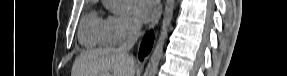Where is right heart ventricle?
<instances>
[{
    "mask_svg": "<svg viewBox=\"0 0 287 76\" xmlns=\"http://www.w3.org/2000/svg\"><path fill=\"white\" fill-rule=\"evenodd\" d=\"M80 42L88 47L107 45L112 43L109 39L105 20L95 12L89 13L83 20L79 30Z\"/></svg>",
    "mask_w": 287,
    "mask_h": 76,
    "instance_id": "e07e8e85",
    "label": "right heart ventricle"
}]
</instances>
